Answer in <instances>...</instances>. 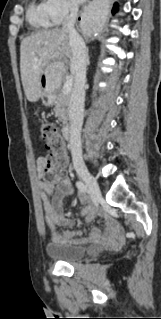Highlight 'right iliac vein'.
Segmentation results:
<instances>
[{
  "label": "right iliac vein",
  "instance_id": "1",
  "mask_svg": "<svg viewBox=\"0 0 161 319\" xmlns=\"http://www.w3.org/2000/svg\"><path fill=\"white\" fill-rule=\"evenodd\" d=\"M78 174L86 183L92 196H98L100 189L96 179L86 169L79 170Z\"/></svg>",
  "mask_w": 161,
  "mask_h": 319
}]
</instances>
